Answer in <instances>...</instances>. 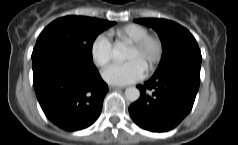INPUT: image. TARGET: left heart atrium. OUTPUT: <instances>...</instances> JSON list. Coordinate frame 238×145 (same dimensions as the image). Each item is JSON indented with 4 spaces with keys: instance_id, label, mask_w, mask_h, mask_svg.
<instances>
[{
    "instance_id": "obj_1",
    "label": "left heart atrium",
    "mask_w": 238,
    "mask_h": 145,
    "mask_svg": "<svg viewBox=\"0 0 238 145\" xmlns=\"http://www.w3.org/2000/svg\"><path fill=\"white\" fill-rule=\"evenodd\" d=\"M144 67L135 59L123 63H114L104 69V80L113 85H126L140 80L144 75Z\"/></svg>"
}]
</instances>
